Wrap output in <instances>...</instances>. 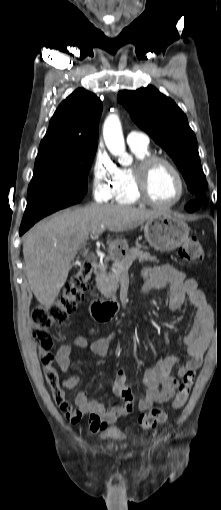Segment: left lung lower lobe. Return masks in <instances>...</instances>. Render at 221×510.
Instances as JSON below:
<instances>
[{"instance_id":"left-lung-lower-lobe-1","label":"left lung lower lobe","mask_w":221,"mask_h":510,"mask_svg":"<svg viewBox=\"0 0 221 510\" xmlns=\"http://www.w3.org/2000/svg\"><path fill=\"white\" fill-rule=\"evenodd\" d=\"M200 207V204L197 202H190L186 205V210L188 212H194Z\"/></svg>"}]
</instances>
